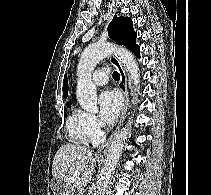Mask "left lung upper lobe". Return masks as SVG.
<instances>
[{
  "mask_svg": "<svg viewBox=\"0 0 211 195\" xmlns=\"http://www.w3.org/2000/svg\"><path fill=\"white\" fill-rule=\"evenodd\" d=\"M108 35L119 45H124L137 56L139 55L140 48L136 44V32L130 18L115 15L108 26Z\"/></svg>",
  "mask_w": 211,
  "mask_h": 195,
  "instance_id": "5c2ea615",
  "label": "left lung upper lobe"
}]
</instances>
